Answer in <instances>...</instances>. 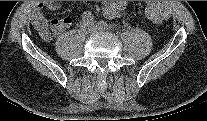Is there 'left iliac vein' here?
<instances>
[{
	"mask_svg": "<svg viewBox=\"0 0 207 121\" xmlns=\"http://www.w3.org/2000/svg\"><path fill=\"white\" fill-rule=\"evenodd\" d=\"M93 30H94L95 32H97V31H105L104 28H101V27H99V26H94V27H93Z\"/></svg>",
	"mask_w": 207,
	"mask_h": 121,
	"instance_id": "4c4485c4",
	"label": "left iliac vein"
}]
</instances>
